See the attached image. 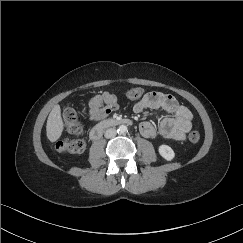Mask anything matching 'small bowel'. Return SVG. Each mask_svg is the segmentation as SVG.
Returning <instances> with one entry per match:
<instances>
[{
  "label": "small bowel",
  "instance_id": "obj_1",
  "mask_svg": "<svg viewBox=\"0 0 243 243\" xmlns=\"http://www.w3.org/2000/svg\"><path fill=\"white\" fill-rule=\"evenodd\" d=\"M119 108V100L110 92L95 94L88 102L87 117L91 122H97L107 117ZM136 113L145 109L164 111L169 117L164 118L158 127L149 121L140 124L139 129L143 136L155 138L162 136L174 141H182L192 128V113L176 98L161 92L146 93L133 107Z\"/></svg>",
  "mask_w": 243,
  "mask_h": 243
}]
</instances>
